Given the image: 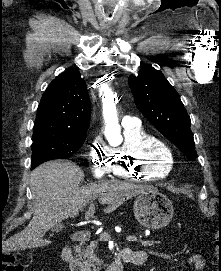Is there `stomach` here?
<instances>
[{
	"label": "stomach",
	"mask_w": 221,
	"mask_h": 271,
	"mask_svg": "<svg viewBox=\"0 0 221 271\" xmlns=\"http://www.w3.org/2000/svg\"><path fill=\"white\" fill-rule=\"evenodd\" d=\"M134 215L144 227L160 229L168 225L173 217L172 201L157 191H142L133 205Z\"/></svg>",
	"instance_id": "obj_1"
}]
</instances>
